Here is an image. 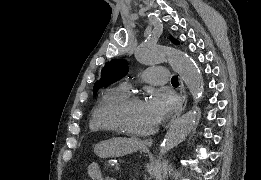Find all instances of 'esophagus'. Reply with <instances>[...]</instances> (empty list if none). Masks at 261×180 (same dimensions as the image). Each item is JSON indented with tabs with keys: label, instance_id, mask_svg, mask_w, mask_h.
Listing matches in <instances>:
<instances>
[{
	"label": "esophagus",
	"instance_id": "obj_1",
	"mask_svg": "<svg viewBox=\"0 0 261 180\" xmlns=\"http://www.w3.org/2000/svg\"><path fill=\"white\" fill-rule=\"evenodd\" d=\"M187 98H186V90L183 81L180 79V106L178 110L175 112L173 117L171 118L167 128L176 120L179 115L183 112L184 108L186 107ZM140 143L144 146L150 147L153 143L151 138H146L140 141Z\"/></svg>",
	"mask_w": 261,
	"mask_h": 180
}]
</instances>
